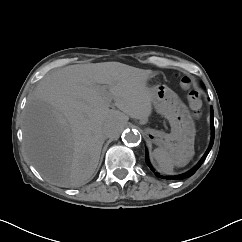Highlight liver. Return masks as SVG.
<instances>
[{"label": "liver", "instance_id": "liver-1", "mask_svg": "<svg viewBox=\"0 0 242 242\" xmlns=\"http://www.w3.org/2000/svg\"><path fill=\"white\" fill-rule=\"evenodd\" d=\"M154 75L120 62L76 64L48 73L28 96L22 121L25 150L41 176L60 187L86 184L97 168L108 122H121L114 138L129 117L151 115L147 81ZM111 101L117 109H110Z\"/></svg>", "mask_w": 242, "mask_h": 242}]
</instances>
